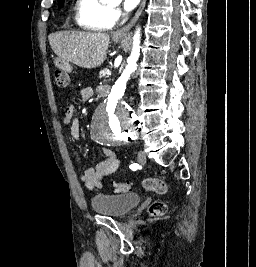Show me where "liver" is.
<instances>
[{
    "label": "liver",
    "mask_w": 256,
    "mask_h": 267,
    "mask_svg": "<svg viewBox=\"0 0 256 267\" xmlns=\"http://www.w3.org/2000/svg\"><path fill=\"white\" fill-rule=\"evenodd\" d=\"M117 38V32L114 34ZM49 44L59 60L80 68H99L106 60L110 38L100 32H55L49 34Z\"/></svg>",
    "instance_id": "1"
}]
</instances>
